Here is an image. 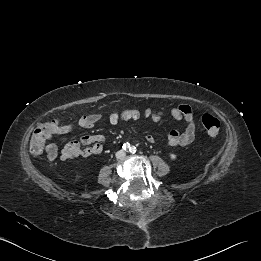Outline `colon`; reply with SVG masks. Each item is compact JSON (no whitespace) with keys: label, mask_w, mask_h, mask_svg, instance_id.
<instances>
[{"label":"colon","mask_w":261,"mask_h":261,"mask_svg":"<svg viewBox=\"0 0 261 261\" xmlns=\"http://www.w3.org/2000/svg\"><path fill=\"white\" fill-rule=\"evenodd\" d=\"M139 116V112L136 110H125L122 112H113L111 114L112 119H134ZM201 123L210 137H216L219 133L220 122L219 120L211 114H203L201 117ZM54 122H43L41 123L33 132L30 139V150L35 155H40L49 139L50 125Z\"/></svg>","instance_id":"colon-1"}]
</instances>
